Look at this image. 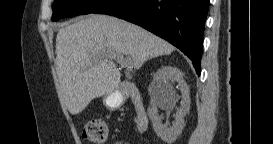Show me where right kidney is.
<instances>
[{"instance_id": "obj_1", "label": "right kidney", "mask_w": 273, "mask_h": 144, "mask_svg": "<svg viewBox=\"0 0 273 144\" xmlns=\"http://www.w3.org/2000/svg\"><path fill=\"white\" fill-rule=\"evenodd\" d=\"M175 81L181 89L185 105L176 113L172 126L168 127L162 124L161 117L158 115L156 108H148V116L152 121L155 133L168 144L173 143L184 128V117L190 104L189 88L183 80L182 73L176 67H162L155 73L153 80V84H156L154 91L161 105H166L168 101L175 98L176 91L173 87Z\"/></svg>"}]
</instances>
